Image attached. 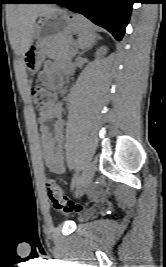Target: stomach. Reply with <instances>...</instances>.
<instances>
[{"label": "stomach", "mask_w": 166, "mask_h": 267, "mask_svg": "<svg viewBox=\"0 0 166 267\" xmlns=\"http://www.w3.org/2000/svg\"><path fill=\"white\" fill-rule=\"evenodd\" d=\"M82 17L58 9L43 15L34 28L31 44L24 54L27 70L33 75L40 69L52 43L79 31Z\"/></svg>", "instance_id": "obj_1"}]
</instances>
